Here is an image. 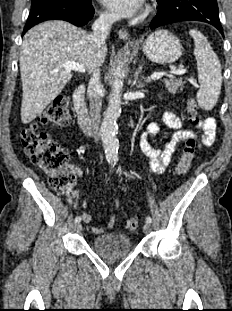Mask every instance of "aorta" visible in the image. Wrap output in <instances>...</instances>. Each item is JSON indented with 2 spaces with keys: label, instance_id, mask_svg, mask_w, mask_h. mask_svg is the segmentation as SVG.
<instances>
[{
  "label": "aorta",
  "instance_id": "1",
  "mask_svg": "<svg viewBox=\"0 0 232 311\" xmlns=\"http://www.w3.org/2000/svg\"><path fill=\"white\" fill-rule=\"evenodd\" d=\"M124 72L123 63L119 62L115 70V79L112 82L109 104L101 124L103 147L106 157L109 159L118 158L119 141L117 139V119L121 114L120 104Z\"/></svg>",
  "mask_w": 232,
  "mask_h": 311
}]
</instances>
